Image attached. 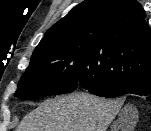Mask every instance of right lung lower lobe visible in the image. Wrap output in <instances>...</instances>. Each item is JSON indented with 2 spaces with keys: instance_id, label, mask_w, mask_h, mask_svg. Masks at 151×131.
Segmentation results:
<instances>
[{
  "instance_id": "98d812e1",
  "label": "right lung lower lobe",
  "mask_w": 151,
  "mask_h": 131,
  "mask_svg": "<svg viewBox=\"0 0 151 131\" xmlns=\"http://www.w3.org/2000/svg\"><path fill=\"white\" fill-rule=\"evenodd\" d=\"M79 87H82L90 93L101 97L116 98L126 94H136L151 102V81L129 84H111L107 82L93 84L89 81L79 83Z\"/></svg>"
}]
</instances>
